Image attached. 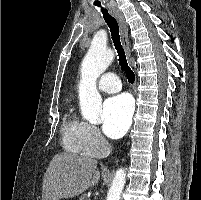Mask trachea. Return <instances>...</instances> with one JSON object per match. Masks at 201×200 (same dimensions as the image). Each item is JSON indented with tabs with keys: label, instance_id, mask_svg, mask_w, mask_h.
Wrapping results in <instances>:
<instances>
[{
	"label": "trachea",
	"instance_id": "obj_1",
	"mask_svg": "<svg viewBox=\"0 0 201 200\" xmlns=\"http://www.w3.org/2000/svg\"><path fill=\"white\" fill-rule=\"evenodd\" d=\"M98 7L100 8L101 13L103 14V18H104L105 22L107 23V25L110 28L112 40H113L115 49L118 53L119 64L121 65L122 69L124 70L126 77L128 79V82L133 84L135 81V74L128 66L125 52H124V49L120 42L118 23H117L116 19L111 14H109V12L105 8H103L100 5H98Z\"/></svg>",
	"mask_w": 201,
	"mask_h": 200
}]
</instances>
